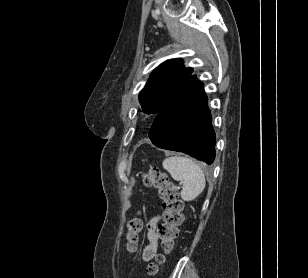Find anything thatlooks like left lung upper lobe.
Wrapping results in <instances>:
<instances>
[{
    "instance_id": "left-lung-upper-lobe-1",
    "label": "left lung upper lobe",
    "mask_w": 308,
    "mask_h": 278,
    "mask_svg": "<svg viewBox=\"0 0 308 278\" xmlns=\"http://www.w3.org/2000/svg\"><path fill=\"white\" fill-rule=\"evenodd\" d=\"M193 68H185L181 59L163 62L151 74L139 93L142 111L157 115L192 76Z\"/></svg>"
}]
</instances>
